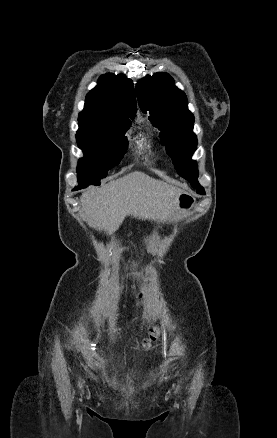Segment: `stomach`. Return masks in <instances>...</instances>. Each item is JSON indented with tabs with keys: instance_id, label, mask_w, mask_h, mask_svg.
I'll list each match as a JSON object with an SVG mask.
<instances>
[{
	"instance_id": "1",
	"label": "stomach",
	"mask_w": 277,
	"mask_h": 438,
	"mask_svg": "<svg viewBox=\"0 0 277 438\" xmlns=\"http://www.w3.org/2000/svg\"><path fill=\"white\" fill-rule=\"evenodd\" d=\"M177 204L179 212L184 213L192 209V207L195 205V199L188 193L183 192L177 197Z\"/></svg>"
}]
</instances>
